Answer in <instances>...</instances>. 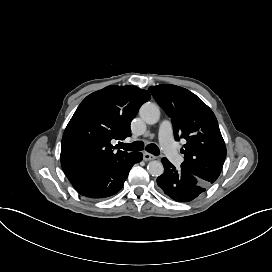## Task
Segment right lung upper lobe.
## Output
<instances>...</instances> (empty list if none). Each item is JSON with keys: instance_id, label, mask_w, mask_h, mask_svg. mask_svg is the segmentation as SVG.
<instances>
[{"instance_id": "1", "label": "right lung upper lobe", "mask_w": 272, "mask_h": 272, "mask_svg": "<svg viewBox=\"0 0 272 272\" xmlns=\"http://www.w3.org/2000/svg\"><path fill=\"white\" fill-rule=\"evenodd\" d=\"M150 94L135 86H108L88 95L63 134L61 165L69 178L106 165L125 151L113 152L111 141L131 135L130 123Z\"/></svg>"}]
</instances>
